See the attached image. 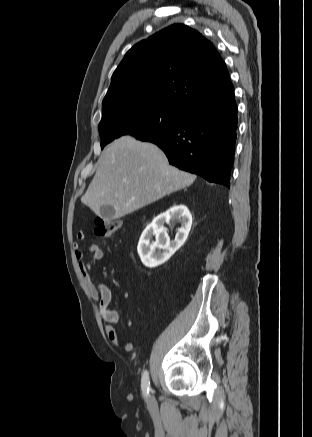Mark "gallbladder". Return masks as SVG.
Instances as JSON below:
<instances>
[{"instance_id": "gallbladder-1", "label": "gallbladder", "mask_w": 312, "mask_h": 437, "mask_svg": "<svg viewBox=\"0 0 312 437\" xmlns=\"http://www.w3.org/2000/svg\"><path fill=\"white\" fill-rule=\"evenodd\" d=\"M115 214V210L110 205H102L100 207L99 216L104 220H111L113 219Z\"/></svg>"}]
</instances>
